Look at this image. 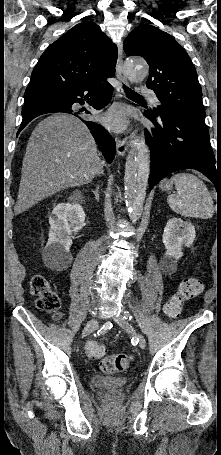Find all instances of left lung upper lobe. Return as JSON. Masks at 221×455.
Wrapping results in <instances>:
<instances>
[{
  "label": "left lung upper lobe",
  "mask_w": 221,
  "mask_h": 455,
  "mask_svg": "<svg viewBox=\"0 0 221 455\" xmlns=\"http://www.w3.org/2000/svg\"><path fill=\"white\" fill-rule=\"evenodd\" d=\"M127 55L142 56L150 67L147 87L161 102L150 110L205 120L202 90L186 51L168 33L148 24L138 25L124 40Z\"/></svg>",
  "instance_id": "1"
}]
</instances>
